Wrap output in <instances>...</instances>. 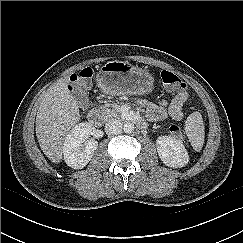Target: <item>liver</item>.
<instances>
[{"label":"liver","instance_id":"6515ba94","mask_svg":"<svg viewBox=\"0 0 243 243\" xmlns=\"http://www.w3.org/2000/svg\"><path fill=\"white\" fill-rule=\"evenodd\" d=\"M68 77L51 85L36 116V136L43 153L53 163H60L65 136L80 120L79 106L68 90Z\"/></svg>","mask_w":243,"mask_h":243}]
</instances>
